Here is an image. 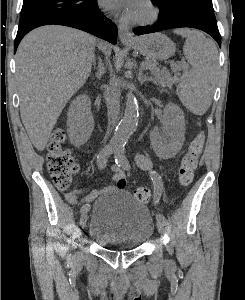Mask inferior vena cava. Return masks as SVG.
I'll return each instance as SVG.
<instances>
[{"instance_id":"1","label":"inferior vena cava","mask_w":245,"mask_h":300,"mask_svg":"<svg viewBox=\"0 0 245 300\" xmlns=\"http://www.w3.org/2000/svg\"><path fill=\"white\" fill-rule=\"evenodd\" d=\"M109 69L111 73V78L110 83L106 88V103L110 112L112 124H114L118 118L120 111V90L117 86L115 75L111 67H109Z\"/></svg>"}]
</instances>
